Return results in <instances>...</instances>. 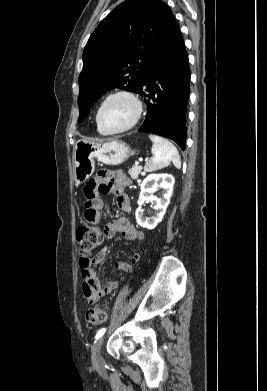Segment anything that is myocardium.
<instances>
[{"label": "myocardium", "mask_w": 267, "mask_h": 391, "mask_svg": "<svg viewBox=\"0 0 267 391\" xmlns=\"http://www.w3.org/2000/svg\"><path fill=\"white\" fill-rule=\"evenodd\" d=\"M115 97L128 98L133 103L135 111H134V116H133L132 120L126 126L118 128V129H111V128H108L107 126L104 125L102 118H101V114H102V110H103V107L105 106V104L109 100H111ZM142 111H143L142 102L134 92L127 90V89H119V90H116V91L109 93L101 101V103L98 107L97 113H96V122L99 125V127L107 134L122 133V132H126V131L132 129L138 123V121L141 118Z\"/></svg>", "instance_id": "myocardium-1"}]
</instances>
